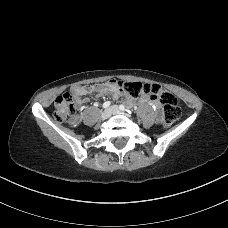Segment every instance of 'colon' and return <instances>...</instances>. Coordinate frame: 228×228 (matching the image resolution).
Segmentation results:
<instances>
[{
    "label": "colon",
    "mask_w": 228,
    "mask_h": 228,
    "mask_svg": "<svg viewBox=\"0 0 228 228\" xmlns=\"http://www.w3.org/2000/svg\"><path fill=\"white\" fill-rule=\"evenodd\" d=\"M118 87L133 98H151L162 104L164 108L163 123L170 126L181 116L182 110L177 98L156 84L142 82H117ZM75 117V107L70 93L59 95L54 102V118L65 122Z\"/></svg>",
    "instance_id": "1"
}]
</instances>
